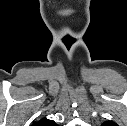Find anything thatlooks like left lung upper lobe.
Instances as JSON below:
<instances>
[{
  "label": "left lung upper lobe",
  "instance_id": "1",
  "mask_svg": "<svg viewBox=\"0 0 127 126\" xmlns=\"http://www.w3.org/2000/svg\"><path fill=\"white\" fill-rule=\"evenodd\" d=\"M102 126H116V123L112 121H106L102 124Z\"/></svg>",
  "mask_w": 127,
  "mask_h": 126
}]
</instances>
